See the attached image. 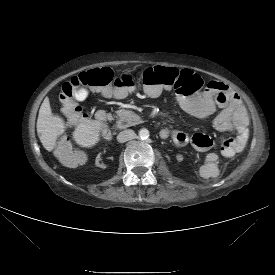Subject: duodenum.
<instances>
[{
    "label": "duodenum",
    "mask_w": 275,
    "mask_h": 275,
    "mask_svg": "<svg viewBox=\"0 0 275 275\" xmlns=\"http://www.w3.org/2000/svg\"><path fill=\"white\" fill-rule=\"evenodd\" d=\"M71 115V114H70ZM97 119L101 122H112V117L109 116L105 111H98L97 112ZM106 135L109 136V130H106ZM168 131L165 129H162L160 134H162L164 137L167 136Z\"/></svg>",
    "instance_id": "410a0bca"
}]
</instances>
